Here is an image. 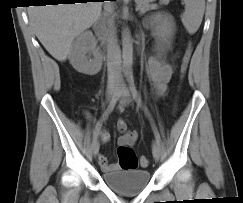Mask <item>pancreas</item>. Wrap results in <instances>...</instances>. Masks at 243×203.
Wrapping results in <instances>:
<instances>
[{"mask_svg": "<svg viewBox=\"0 0 243 203\" xmlns=\"http://www.w3.org/2000/svg\"><path fill=\"white\" fill-rule=\"evenodd\" d=\"M154 0H135V3L137 6L141 9V12H146L151 9H155L156 7L151 5L150 2H153ZM170 0H162V4L167 5Z\"/></svg>", "mask_w": 243, "mask_h": 203, "instance_id": "cf45deb5", "label": "pancreas"}]
</instances>
